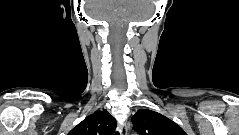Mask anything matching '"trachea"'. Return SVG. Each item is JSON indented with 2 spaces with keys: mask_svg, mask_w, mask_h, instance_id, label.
<instances>
[{
  "mask_svg": "<svg viewBox=\"0 0 239 135\" xmlns=\"http://www.w3.org/2000/svg\"><path fill=\"white\" fill-rule=\"evenodd\" d=\"M115 135H120L119 132H116Z\"/></svg>",
  "mask_w": 239,
  "mask_h": 135,
  "instance_id": "3493384b",
  "label": "trachea"
}]
</instances>
